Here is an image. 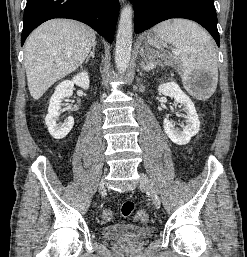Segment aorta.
Segmentation results:
<instances>
[{
    "instance_id": "1",
    "label": "aorta",
    "mask_w": 247,
    "mask_h": 257,
    "mask_svg": "<svg viewBox=\"0 0 247 257\" xmlns=\"http://www.w3.org/2000/svg\"><path fill=\"white\" fill-rule=\"evenodd\" d=\"M132 14L133 10L130 5H125L120 14L115 47V64L119 73L126 71L131 58L133 35Z\"/></svg>"
}]
</instances>
